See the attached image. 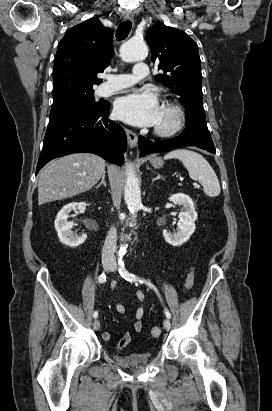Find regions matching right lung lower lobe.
<instances>
[{
  "label": "right lung lower lobe",
  "mask_w": 272,
  "mask_h": 411,
  "mask_svg": "<svg viewBox=\"0 0 272 411\" xmlns=\"http://www.w3.org/2000/svg\"><path fill=\"white\" fill-rule=\"evenodd\" d=\"M109 102L100 107L75 111L49 120L36 174L50 160L76 152H89L105 160L124 161L126 134L108 119Z\"/></svg>",
  "instance_id": "1"
}]
</instances>
